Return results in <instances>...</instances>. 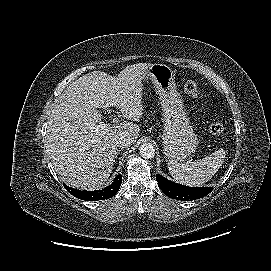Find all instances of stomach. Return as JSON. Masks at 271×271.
Listing matches in <instances>:
<instances>
[{"mask_svg":"<svg viewBox=\"0 0 271 271\" xmlns=\"http://www.w3.org/2000/svg\"><path fill=\"white\" fill-rule=\"evenodd\" d=\"M148 79L153 82L162 106L164 155L169 162L185 159L195 151L198 137L177 91L175 73L167 65L153 64L144 76V81Z\"/></svg>","mask_w":271,"mask_h":271,"instance_id":"stomach-1","label":"stomach"}]
</instances>
